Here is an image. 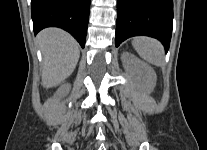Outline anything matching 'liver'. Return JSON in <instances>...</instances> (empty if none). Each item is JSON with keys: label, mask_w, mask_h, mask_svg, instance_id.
I'll list each match as a JSON object with an SVG mask.
<instances>
[{"label": "liver", "mask_w": 207, "mask_h": 150, "mask_svg": "<svg viewBox=\"0 0 207 150\" xmlns=\"http://www.w3.org/2000/svg\"><path fill=\"white\" fill-rule=\"evenodd\" d=\"M43 55L42 85L52 88L68 78L79 60L76 40L58 28H47L37 36Z\"/></svg>", "instance_id": "1"}]
</instances>
